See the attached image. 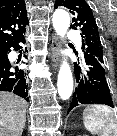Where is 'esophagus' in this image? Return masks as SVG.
I'll return each mask as SVG.
<instances>
[{
	"label": "esophagus",
	"mask_w": 117,
	"mask_h": 136,
	"mask_svg": "<svg viewBox=\"0 0 117 136\" xmlns=\"http://www.w3.org/2000/svg\"><path fill=\"white\" fill-rule=\"evenodd\" d=\"M51 60L53 66L56 68L60 63L59 56V40L56 36H53L52 44H51Z\"/></svg>",
	"instance_id": "esophagus-1"
}]
</instances>
